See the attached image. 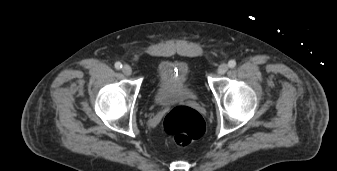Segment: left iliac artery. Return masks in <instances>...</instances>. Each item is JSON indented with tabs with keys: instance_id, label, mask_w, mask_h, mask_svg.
I'll return each mask as SVG.
<instances>
[{
	"instance_id": "44dca946",
	"label": "left iliac artery",
	"mask_w": 337,
	"mask_h": 171,
	"mask_svg": "<svg viewBox=\"0 0 337 171\" xmlns=\"http://www.w3.org/2000/svg\"><path fill=\"white\" fill-rule=\"evenodd\" d=\"M228 66H229L230 68H234V67L236 66V61H235V60H230V61L228 62Z\"/></svg>"
}]
</instances>
